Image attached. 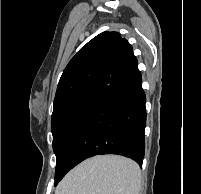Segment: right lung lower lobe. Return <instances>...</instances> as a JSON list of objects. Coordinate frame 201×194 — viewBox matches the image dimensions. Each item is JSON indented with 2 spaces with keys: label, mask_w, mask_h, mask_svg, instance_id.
<instances>
[{
  "label": "right lung lower lobe",
  "mask_w": 201,
  "mask_h": 194,
  "mask_svg": "<svg viewBox=\"0 0 201 194\" xmlns=\"http://www.w3.org/2000/svg\"><path fill=\"white\" fill-rule=\"evenodd\" d=\"M145 102L137 68L81 110L65 128L55 152V186L78 163L99 154L126 156L142 166Z\"/></svg>",
  "instance_id": "1"
}]
</instances>
